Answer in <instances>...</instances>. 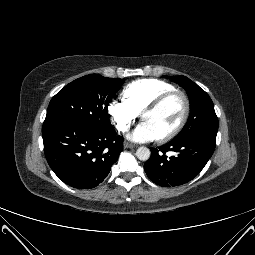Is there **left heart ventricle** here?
<instances>
[{
    "label": "left heart ventricle",
    "instance_id": "obj_1",
    "mask_svg": "<svg viewBox=\"0 0 255 255\" xmlns=\"http://www.w3.org/2000/svg\"><path fill=\"white\" fill-rule=\"evenodd\" d=\"M184 109L180 96L167 100L154 112L146 114L142 121L146 122L161 137L171 131L179 122Z\"/></svg>",
    "mask_w": 255,
    "mask_h": 255
}]
</instances>
